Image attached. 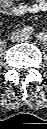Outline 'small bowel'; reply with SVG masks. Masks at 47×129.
<instances>
[{"instance_id": "obj_1", "label": "small bowel", "mask_w": 47, "mask_h": 129, "mask_svg": "<svg viewBox=\"0 0 47 129\" xmlns=\"http://www.w3.org/2000/svg\"><path fill=\"white\" fill-rule=\"evenodd\" d=\"M46 10V0H2L1 2V12L10 16H21L26 13L35 14Z\"/></svg>"}]
</instances>
